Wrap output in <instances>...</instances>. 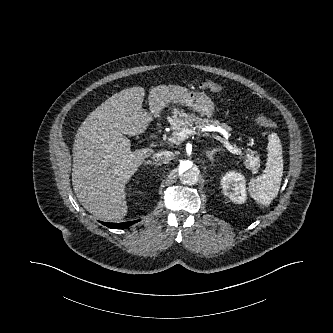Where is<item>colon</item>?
<instances>
[{
    "instance_id": "colon-1",
    "label": "colon",
    "mask_w": 333,
    "mask_h": 333,
    "mask_svg": "<svg viewBox=\"0 0 333 333\" xmlns=\"http://www.w3.org/2000/svg\"><path fill=\"white\" fill-rule=\"evenodd\" d=\"M199 86H200V88L208 90L213 93H218L222 90V87L220 84H218L214 81H210V80H205V81L201 82L199 84ZM254 121L256 124H258L262 127L268 128V129L276 128V123L273 120L268 119L263 115H257L254 118Z\"/></svg>"
}]
</instances>
